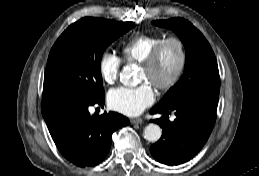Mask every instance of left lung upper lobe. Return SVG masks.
Listing matches in <instances>:
<instances>
[{
  "mask_svg": "<svg viewBox=\"0 0 259 176\" xmlns=\"http://www.w3.org/2000/svg\"><path fill=\"white\" fill-rule=\"evenodd\" d=\"M152 24L173 30L186 48L184 74L157 106L170 109L190 101L217 106L220 91L218 65L203 34L182 18L153 21Z\"/></svg>",
  "mask_w": 259,
  "mask_h": 176,
  "instance_id": "left-lung-upper-lobe-1",
  "label": "left lung upper lobe"
}]
</instances>
